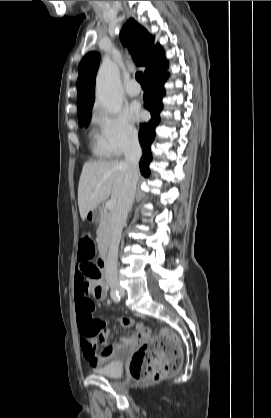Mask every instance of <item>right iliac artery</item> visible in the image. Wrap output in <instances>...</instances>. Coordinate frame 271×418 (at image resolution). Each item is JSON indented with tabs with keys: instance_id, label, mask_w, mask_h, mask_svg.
Instances as JSON below:
<instances>
[{
	"instance_id": "right-iliac-artery-1",
	"label": "right iliac artery",
	"mask_w": 271,
	"mask_h": 418,
	"mask_svg": "<svg viewBox=\"0 0 271 418\" xmlns=\"http://www.w3.org/2000/svg\"><path fill=\"white\" fill-rule=\"evenodd\" d=\"M111 298L114 302L118 303L120 302V295L119 292L117 290H111L110 292Z\"/></svg>"
}]
</instances>
